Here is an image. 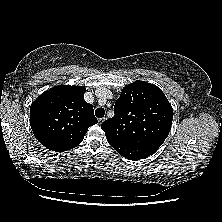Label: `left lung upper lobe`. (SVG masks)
Returning <instances> with one entry per match:
<instances>
[{
    "instance_id": "left-lung-upper-lobe-1",
    "label": "left lung upper lobe",
    "mask_w": 222,
    "mask_h": 222,
    "mask_svg": "<svg viewBox=\"0 0 222 222\" xmlns=\"http://www.w3.org/2000/svg\"><path fill=\"white\" fill-rule=\"evenodd\" d=\"M114 117L101 128L112 144L158 149L168 136L173 109L156 85L137 80L125 86L114 106Z\"/></svg>"
}]
</instances>
